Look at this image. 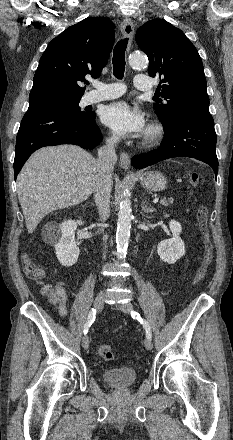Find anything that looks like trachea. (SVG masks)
Listing matches in <instances>:
<instances>
[{"instance_id": "obj_1", "label": "trachea", "mask_w": 233, "mask_h": 440, "mask_svg": "<svg viewBox=\"0 0 233 440\" xmlns=\"http://www.w3.org/2000/svg\"><path fill=\"white\" fill-rule=\"evenodd\" d=\"M128 39L119 41L113 50V73L117 79H122L125 70V50Z\"/></svg>"}]
</instances>
